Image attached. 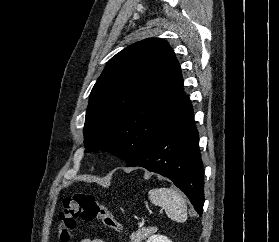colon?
Wrapping results in <instances>:
<instances>
[{"label":"colon","instance_id":"5ec220e1","mask_svg":"<svg viewBox=\"0 0 279 242\" xmlns=\"http://www.w3.org/2000/svg\"><path fill=\"white\" fill-rule=\"evenodd\" d=\"M100 220L111 229L123 230L122 224L112 212L100 204L96 197L87 193H75L63 201V208L59 213V242H70L71 231L77 226V221Z\"/></svg>","mask_w":279,"mask_h":242}]
</instances>
